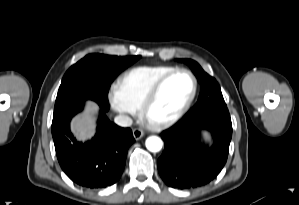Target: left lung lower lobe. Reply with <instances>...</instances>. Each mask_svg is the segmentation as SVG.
<instances>
[{
  "instance_id": "0a47b994",
  "label": "left lung lower lobe",
  "mask_w": 299,
  "mask_h": 205,
  "mask_svg": "<svg viewBox=\"0 0 299 205\" xmlns=\"http://www.w3.org/2000/svg\"><path fill=\"white\" fill-rule=\"evenodd\" d=\"M212 133L214 144L207 148L197 143L199 131ZM232 137L227 106L188 112L177 124L162 132L165 150L158 159V171L170 187L191 189L213 180L224 167Z\"/></svg>"
}]
</instances>
